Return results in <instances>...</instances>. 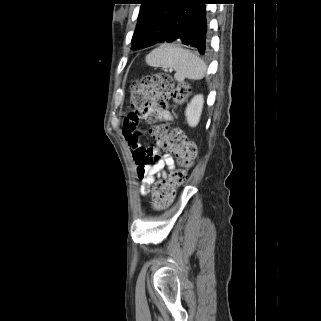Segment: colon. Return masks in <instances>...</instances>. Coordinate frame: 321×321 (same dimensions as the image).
Segmentation results:
<instances>
[{"mask_svg":"<svg viewBox=\"0 0 321 321\" xmlns=\"http://www.w3.org/2000/svg\"><path fill=\"white\" fill-rule=\"evenodd\" d=\"M189 94L187 85H175L171 76L158 73L145 76L133 82L131 87V104L137 110H143L163 99H173L176 103H183ZM155 139L164 148L174 154L182 167L171 169L168 180L157 182L153 190V205L155 208L167 206L173 199L175 189L185 179V169L190 167L197 156L195 144L190 141L183 130L168 129L165 125L154 126Z\"/></svg>","mask_w":321,"mask_h":321,"instance_id":"5ec220e1","label":"colon"}]
</instances>
